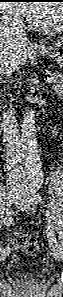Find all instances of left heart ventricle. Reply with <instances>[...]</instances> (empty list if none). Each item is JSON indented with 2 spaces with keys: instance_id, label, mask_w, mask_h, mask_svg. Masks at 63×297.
I'll use <instances>...</instances> for the list:
<instances>
[{
  "instance_id": "obj_1",
  "label": "left heart ventricle",
  "mask_w": 63,
  "mask_h": 297,
  "mask_svg": "<svg viewBox=\"0 0 63 297\" xmlns=\"http://www.w3.org/2000/svg\"><path fill=\"white\" fill-rule=\"evenodd\" d=\"M60 18V11L57 5H44L41 15L36 18V23H42L45 25H55Z\"/></svg>"
}]
</instances>
